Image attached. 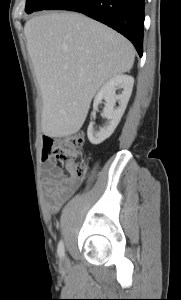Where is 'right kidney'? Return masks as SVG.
I'll return each mask as SVG.
<instances>
[{"instance_id": "ca27d5eb", "label": "right kidney", "mask_w": 181, "mask_h": 300, "mask_svg": "<svg viewBox=\"0 0 181 300\" xmlns=\"http://www.w3.org/2000/svg\"><path fill=\"white\" fill-rule=\"evenodd\" d=\"M133 84L134 78L132 76L120 74L107 81L101 87L95 96L94 107L97 108L99 103L105 100L102 114L107 119V122L100 128V131H94V122L89 124L87 136L92 144L98 145L112 135L124 114L132 93ZM117 89H123L122 93L117 95ZM117 101L119 106L115 107Z\"/></svg>"}]
</instances>
